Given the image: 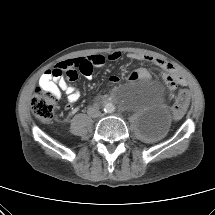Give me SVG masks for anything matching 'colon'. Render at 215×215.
I'll return each mask as SVG.
<instances>
[{
    "label": "colon",
    "instance_id": "5ec220e1",
    "mask_svg": "<svg viewBox=\"0 0 215 215\" xmlns=\"http://www.w3.org/2000/svg\"><path fill=\"white\" fill-rule=\"evenodd\" d=\"M82 70H86V66H81ZM70 71H56V75H68ZM182 78L173 70L168 71L165 77V84L169 90H172ZM57 96L48 90L43 88H38L32 98L31 108L34 116L42 122H49L54 117L55 105L57 102ZM188 104V93L183 91L177 97L173 105V115L175 118H180L187 107Z\"/></svg>",
    "mask_w": 215,
    "mask_h": 215
}]
</instances>
